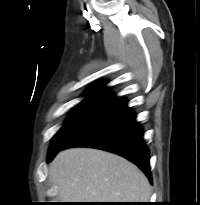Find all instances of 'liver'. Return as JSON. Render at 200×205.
Listing matches in <instances>:
<instances>
[{
	"instance_id": "obj_1",
	"label": "liver",
	"mask_w": 200,
	"mask_h": 205,
	"mask_svg": "<svg viewBox=\"0 0 200 205\" xmlns=\"http://www.w3.org/2000/svg\"><path fill=\"white\" fill-rule=\"evenodd\" d=\"M49 178L63 202H148L151 187L126 159L102 150L70 148L57 154Z\"/></svg>"
}]
</instances>
